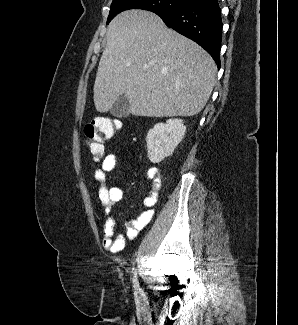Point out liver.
Instances as JSON below:
<instances>
[{"label":"liver","instance_id":"obj_1","mask_svg":"<svg viewBox=\"0 0 298 325\" xmlns=\"http://www.w3.org/2000/svg\"><path fill=\"white\" fill-rule=\"evenodd\" d=\"M93 88L96 110L121 94L137 116H193L204 108L217 66L199 44L150 10H124L108 24Z\"/></svg>","mask_w":298,"mask_h":325}]
</instances>
